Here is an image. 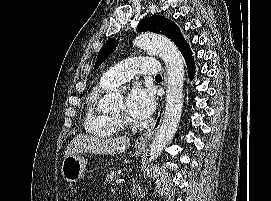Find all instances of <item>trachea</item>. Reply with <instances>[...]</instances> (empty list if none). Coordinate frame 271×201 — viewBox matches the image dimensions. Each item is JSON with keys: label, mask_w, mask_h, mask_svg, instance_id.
Wrapping results in <instances>:
<instances>
[{"label": "trachea", "mask_w": 271, "mask_h": 201, "mask_svg": "<svg viewBox=\"0 0 271 201\" xmlns=\"http://www.w3.org/2000/svg\"><path fill=\"white\" fill-rule=\"evenodd\" d=\"M155 79H162V77H161L160 74H157V75L155 76Z\"/></svg>", "instance_id": "1"}]
</instances>
